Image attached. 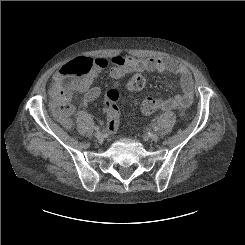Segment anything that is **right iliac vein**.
Instances as JSON below:
<instances>
[{
	"label": "right iliac vein",
	"mask_w": 245,
	"mask_h": 245,
	"mask_svg": "<svg viewBox=\"0 0 245 245\" xmlns=\"http://www.w3.org/2000/svg\"><path fill=\"white\" fill-rule=\"evenodd\" d=\"M95 137H96L99 141H101V140L103 139V134H102L101 132H96V133H95Z\"/></svg>",
	"instance_id": "63e3f726"
}]
</instances>
